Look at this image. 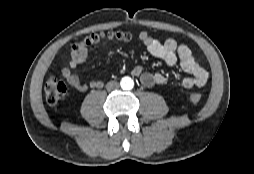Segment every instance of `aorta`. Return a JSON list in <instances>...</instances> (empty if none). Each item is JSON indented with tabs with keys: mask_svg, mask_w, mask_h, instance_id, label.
I'll use <instances>...</instances> for the list:
<instances>
[{
	"mask_svg": "<svg viewBox=\"0 0 254 174\" xmlns=\"http://www.w3.org/2000/svg\"><path fill=\"white\" fill-rule=\"evenodd\" d=\"M133 86H134V83L131 80V78L125 77V78L122 79V81H121V87H122V89H124V90H130V89L133 88Z\"/></svg>",
	"mask_w": 254,
	"mask_h": 174,
	"instance_id": "1",
	"label": "aorta"
}]
</instances>
